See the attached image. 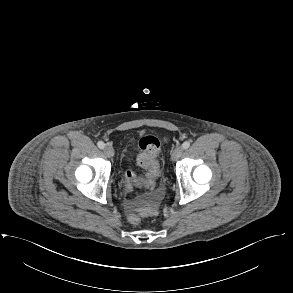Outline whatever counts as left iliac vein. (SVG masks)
Instances as JSON below:
<instances>
[{
    "label": "left iliac vein",
    "instance_id": "1",
    "mask_svg": "<svg viewBox=\"0 0 293 293\" xmlns=\"http://www.w3.org/2000/svg\"><path fill=\"white\" fill-rule=\"evenodd\" d=\"M182 154H183V148L181 146H178L173 150L171 154V159L175 161L179 159L182 156Z\"/></svg>",
    "mask_w": 293,
    "mask_h": 293
}]
</instances>
